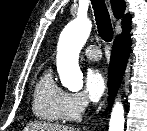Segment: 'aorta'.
<instances>
[{
    "label": "aorta",
    "instance_id": "762f6f07",
    "mask_svg": "<svg viewBox=\"0 0 147 131\" xmlns=\"http://www.w3.org/2000/svg\"><path fill=\"white\" fill-rule=\"evenodd\" d=\"M92 24L87 18L77 17L63 30L57 49V70L61 84L70 91L83 87V73L79 67V53L87 41ZM124 108L116 102L112 108L109 131H124Z\"/></svg>",
    "mask_w": 147,
    "mask_h": 131
}]
</instances>
